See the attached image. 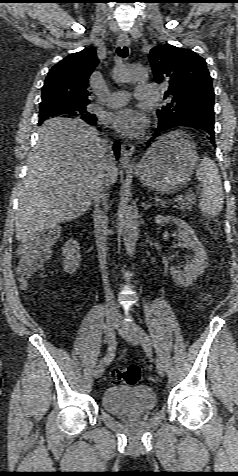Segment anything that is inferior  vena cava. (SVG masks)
Wrapping results in <instances>:
<instances>
[{
  "label": "inferior vena cava",
  "instance_id": "1",
  "mask_svg": "<svg viewBox=\"0 0 238 476\" xmlns=\"http://www.w3.org/2000/svg\"><path fill=\"white\" fill-rule=\"evenodd\" d=\"M102 148L106 153V157L108 158V163L106 166V175L104 176L98 190L96 196L94 198L95 202V235H96V244H97V251L99 257L100 268L102 272V278L104 283V290L106 293V299L108 302V306L112 309L117 311V306L115 301L113 300V293L109 287L108 275H107V267H106V256H107V243L106 237L108 233V218L106 216V211L108 209L104 207L105 212L99 208V202L102 195L105 193L106 189L110 185L109 174L113 170L115 166V158L113 156V151L111 145L108 140H103Z\"/></svg>",
  "mask_w": 238,
  "mask_h": 476
}]
</instances>
